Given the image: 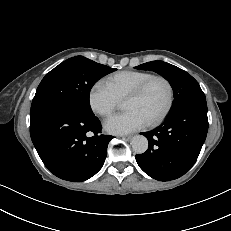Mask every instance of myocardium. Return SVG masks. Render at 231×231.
Instances as JSON below:
<instances>
[{
    "label": "myocardium",
    "instance_id": "1",
    "mask_svg": "<svg viewBox=\"0 0 231 231\" xmlns=\"http://www.w3.org/2000/svg\"><path fill=\"white\" fill-rule=\"evenodd\" d=\"M157 80H160L166 84L167 89H168V101H167V104H166L164 110L157 117L148 121L149 126H156V125L162 123L167 118V116L170 114V112L174 106L175 90H174V86H173V83L171 82V80L164 75H160V74L152 75L147 80H145L141 85H139L135 90H133L125 98L126 100H128V99H138V98L142 97L145 94V92L148 90L150 85L154 81H157Z\"/></svg>",
    "mask_w": 231,
    "mask_h": 231
}]
</instances>
